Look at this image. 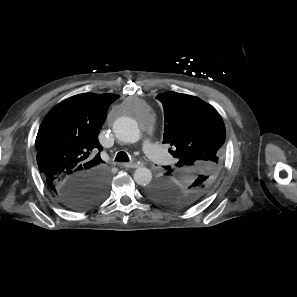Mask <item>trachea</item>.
Returning <instances> with one entry per match:
<instances>
[{
	"instance_id": "1",
	"label": "trachea",
	"mask_w": 297,
	"mask_h": 297,
	"mask_svg": "<svg viewBox=\"0 0 297 297\" xmlns=\"http://www.w3.org/2000/svg\"><path fill=\"white\" fill-rule=\"evenodd\" d=\"M115 161L127 162V161H129V157H128L127 153H125L124 151H120L117 153V155L115 157Z\"/></svg>"
}]
</instances>
